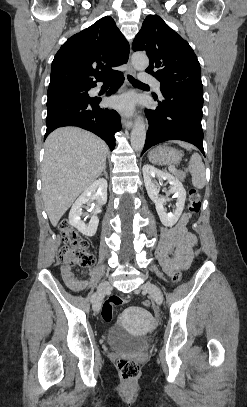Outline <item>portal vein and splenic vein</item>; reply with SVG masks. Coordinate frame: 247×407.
Wrapping results in <instances>:
<instances>
[{
    "instance_id": "18ae733b",
    "label": "portal vein and splenic vein",
    "mask_w": 247,
    "mask_h": 407,
    "mask_svg": "<svg viewBox=\"0 0 247 407\" xmlns=\"http://www.w3.org/2000/svg\"><path fill=\"white\" fill-rule=\"evenodd\" d=\"M169 170L172 171V172L176 171L174 167H170Z\"/></svg>"
}]
</instances>
